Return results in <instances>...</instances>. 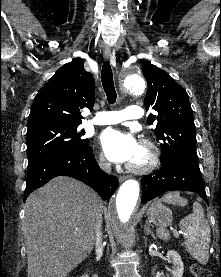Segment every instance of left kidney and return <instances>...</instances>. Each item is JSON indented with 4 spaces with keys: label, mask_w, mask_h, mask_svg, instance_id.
Wrapping results in <instances>:
<instances>
[{
    "label": "left kidney",
    "mask_w": 221,
    "mask_h": 277,
    "mask_svg": "<svg viewBox=\"0 0 221 277\" xmlns=\"http://www.w3.org/2000/svg\"><path fill=\"white\" fill-rule=\"evenodd\" d=\"M167 261L172 263V277H182L184 265L178 252L169 250L167 252ZM156 277H163L161 272H157Z\"/></svg>",
    "instance_id": "1"
}]
</instances>
